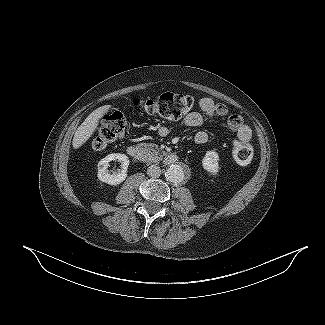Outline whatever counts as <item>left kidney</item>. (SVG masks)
I'll return each instance as SVG.
<instances>
[{"label":"left kidney","mask_w":325,"mask_h":325,"mask_svg":"<svg viewBox=\"0 0 325 325\" xmlns=\"http://www.w3.org/2000/svg\"><path fill=\"white\" fill-rule=\"evenodd\" d=\"M202 166L211 174L215 175L219 172V155L214 150L207 151L203 160H202Z\"/></svg>","instance_id":"left-kidney-1"}]
</instances>
